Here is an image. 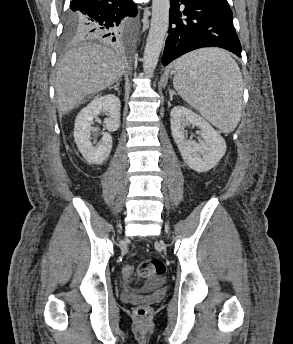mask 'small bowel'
<instances>
[{
    "instance_id": "obj_1",
    "label": "small bowel",
    "mask_w": 293,
    "mask_h": 344,
    "mask_svg": "<svg viewBox=\"0 0 293 344\" xmlns=\"http://www.w3.org/2000/svg\"><path fill=\"white\" fill-rule=\"evenodd\" d=\"M126 280H129L128 278L125 277ZM122 297L126 300H133L135 295L129 290V289H124L122 292Z\"/></svg>"
}]
</instances>
